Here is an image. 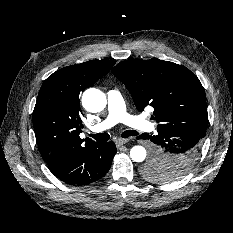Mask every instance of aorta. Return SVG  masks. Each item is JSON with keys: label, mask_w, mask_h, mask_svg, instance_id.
Returning a JSON list of instances; mask_svg holds the SVG:
<instances>
[{"label": "aorta", "mask_w": 233, "mask_h": 233, "mask_svg": "<svg viewBox=\"0 0 233 233\" xmlns=\"http://www.w3.org/2000/svg\"><path fill=\"white\" fill-rule=\"evenodd\" d=\"M106 104V96L99 89H87L82 95V105L89 112H100L106 107ZM130 156L133 161L142 162L146 158V149L140 145L134 146L130 150Z\"/></svg>", "instance_id": "1"}]
</instances>
